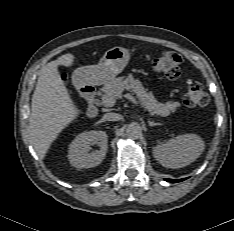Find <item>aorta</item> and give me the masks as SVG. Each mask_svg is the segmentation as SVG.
<instances>
[{
	"instance_id": "aorta-1",
	"label": "aorta",
	"mask_w": 234,
	"mask_h": 231,
	"mask_svg": "<svg viewBox=\"0 0 234 231\" xmlns=\"http://www.w3.org/2000/svg\"><path fill=\"white\" fill-rule=\"evenodd\" d=\"M141 134V126L136 122H133L126 127V135L131 139H137L140 137Z\"/></svg>"
}]
</instances>
